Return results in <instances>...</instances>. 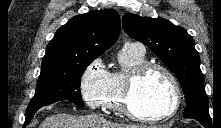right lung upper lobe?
<instances>
[{
	"label": "right lung upper lobe",
	"mask_w": 221,
	"mask_h": 128,
	"mask_svg": "<svg viewBox=\"0 0 221 128\" xmlns=\"http://www.w3.org/2000/svg\"><path fill=\"white\" fill-rule=\"evenodd\" d=\"M120 17L113 9L90 11L71 18L49 42L42 70L97 58L118 39Z\"/></svg>",
	"instance_id": "1"
}]
</instances>
